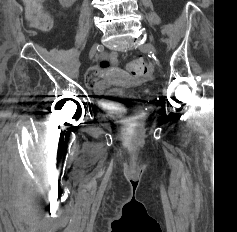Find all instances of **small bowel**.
Masks as SVG:
<instances>
[{"mask_svg":"<svg viewBox=\"0 0 237 232\" xmlns=\"http://www.w3.org/2000/svg\"><path fill=\"white\" fill-rule=\"evenodd\" d=\"M109 59L113 64L117 63V54L112 52L109 56ZM101 77L102 75L100 71L95 67L90 68L86 74L87 86L97 94L104 93L111 86V83L108 79H102Z\"/></svg>","mask_w":237,"mask_h":232,"instance_id":"1","label":"small bowel"}]
</instances>
